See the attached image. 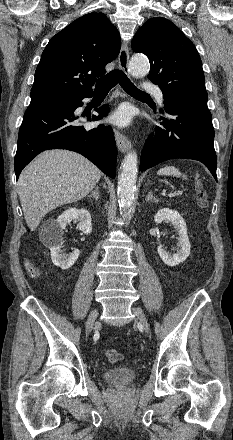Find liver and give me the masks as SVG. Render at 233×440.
Listing matches in <instances>:
<instances>
[{
	"label": "liver",
	"instance_id": "obj_1",
	"mask_svg": "<svg viewBox=\"0 0 233 440\" xmlns=\"http://www.w3.org/2000/svg\"><path fill=\"white\" fill-rule=\"evenodd\" d=\"M101 177L82 155L49 150L38 155L20 174L18 195L26 223L34 231L51 210L81 200Z\"/></svg>",
	"mask_w": 233,
	"mask_h": 440
}]
</instances>
